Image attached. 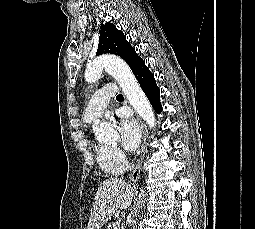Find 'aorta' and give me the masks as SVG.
<instances>
[{
	"instance_id": "1",
	"label": "aorta",
	"mask_w": 255,
	"mask_h": 229,
	"mask_svg": "<svg viewBox=\"0 0 255 229\" xmlns=\"http://www.w3.org/2000/svg\"><path fill=\"white\" fill-rule=\"evenodd\" d=\"M103 70L113 76L132 107L139 116L149 125L155 126V116L150 102L142 91L130 67L125 61L114 56L98 57L90 62L85 71V80L88 83H94L100 79ZM97 139L100 142H108L118 139L117 132L106 122H101L94 130ZM145 192L141 190L139 194V205L144 204Z\"/></svg>"
}]
</instances>
